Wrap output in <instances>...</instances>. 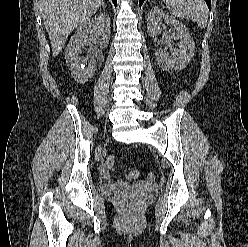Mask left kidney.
<instances>
[{
	"mask_svg": "<svg viewBox=\"0 0 248 247\" xmlns=\"http://www.w3.org/2000/svg\"><path fill=\"white\" fill-rule=\"evenodd\" d=\"M164 21L173 26L174 38L178 40V52L175 56L169 57L166 49L156 53L157 61L165 71L178 70L185 67L194 55L195 44L187 27L164 13L159 7H154L147 17V31L152 37L158 36L162 32L160 23Z\"/></svg>",
	"mask_w": 248,
	"mask_h": 247,
	"instance_id": "left-kidney-1",
	"label": "left kidney"
}]
</instances>
